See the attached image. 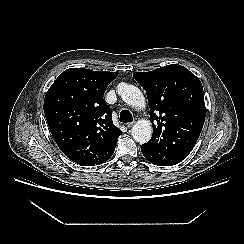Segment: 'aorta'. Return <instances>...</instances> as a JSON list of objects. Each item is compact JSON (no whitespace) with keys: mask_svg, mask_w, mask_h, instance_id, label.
I'll return each instance as SVG.
<instances>
[{"mask_svg":"<svg viewBox=\"0 0 244 244\" xmlns=\"http://www.w3.org/2000/svg\"><path fill=\"white\" fill-rule=\"evenodd\" d=\"M118 94L122 97L123 101L136 108L145 107V97L141 90L134 85L120 83L117 87ZM152 136V125L148 120L137 121L132 128L133 139L140 143H147Z\"/></svg>","mask_w":244,"mask_h":244,"instance_id":"obj_1","label":"aorta"}]
</instances>
